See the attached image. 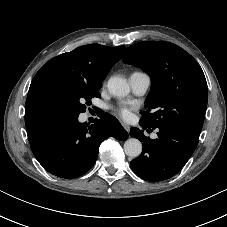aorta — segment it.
<instances>
[{
  "instance_id": "762f6f07",
  "label": "aorta",
  "mask_w": 227,
  "mask_h": 227,
  "mask_svg": "<svg viewBox=\"0 0 227 227\" xmlns=\"http://www.w3.org/2000/svg\"><path fill=\"white\" fill-rule=\"evenodd\" d=\"M107 87L109 92L116 97L123 98L130 92V87L125 78L120 76L111 77L108 80ZM124 152L127 156L136 158L142 152V144L136 138H129L124 143Z\"/></svg>"
}]
</instances>
